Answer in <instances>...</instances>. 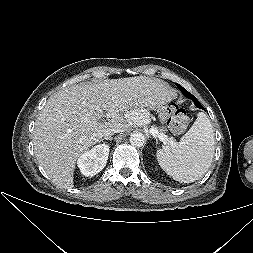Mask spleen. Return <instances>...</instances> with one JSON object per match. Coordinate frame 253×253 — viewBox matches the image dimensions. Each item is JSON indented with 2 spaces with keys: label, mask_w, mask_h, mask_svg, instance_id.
Returning <instances> with one entry per match:
<instances>
[{
  "label": "spleen",
  "mask_w": 253,
  "mask_h": 253,
  "mask_svg": "<svg viewBox=\"0 0 253 253\" xmlns=\"http://www.w3.org/2000/svg\"><path fill=\"white\" fill-rule=\"evenodd\" d=\"M213 156V129L204 112L198 113L196 121L180 142H174L156 152L160 167L181 183H191L201 178L210 167Z\"/></svg>",
  "instance_id": "3e777b00"
}]
</instances>
